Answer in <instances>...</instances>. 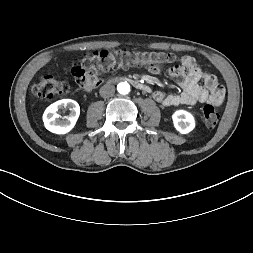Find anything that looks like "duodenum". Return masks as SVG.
<instances>
[{
	"mask_svg": "<svg viewBox=\"0 0 253 253\" xmlns=\"http://www.w3.org/2000/svg\"><path fill=\"white\" fill-rule=\"evenodd\" d=\"M117 79H119V78H114L112 81L114 82V81H116ZM130 80L133 82V84H134L138 89L143 90V91H148V88H147L145 85H143L141 82H139V81H137V80H135V79H130Z\"/></svg>",
	"mask_w": 253,
	"mask_h": 253,
	"instance_id": "410a0bca",
	"label": "duodenum"
}]
</instances>
